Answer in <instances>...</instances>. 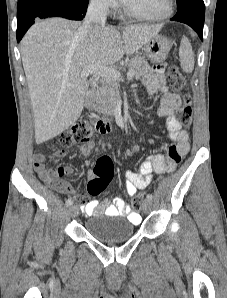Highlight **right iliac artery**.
Segmentation results:
<instances>
[{
    "label": "right iliac artery",
    "instance_id": "right-iliac-artery-1",
    "mask_svg": "<svg viewBox=\"0 0 227 298\" xmlns=\"http://www.w3.org/2000/svg\"><path fill=\"white\" fill-rule=\"evenodd\" d=\"M73 204V201H72V199H67L66 200V203H65V205L68 207V206H71Z\"/></svg>",
    "mask_w": 227,
    "mask_h": 298
}]
</instances>
